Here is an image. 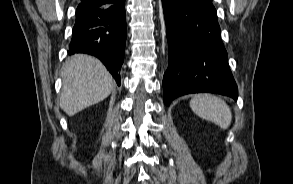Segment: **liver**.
Segmentation results:
<instances>
[{
    "label": "liver",
    "mask_w": 293,
    "mask_h": 184,
    "mask_svg": "<svg viewBox=\"0 0 293 184\" xmlns=\"http://www.w3.org/2000/svg\"><path fill=\"white\" fill-rule=\"evenodd\" d=\"M62 78L60 107L69 116L104 100L114 87L113 78L104 65L85 54L68 59Z\"/></svg>",
    "instance_id": "1"
}]
</instances>
